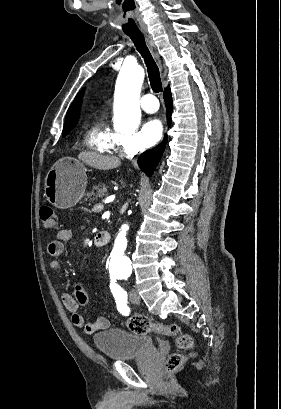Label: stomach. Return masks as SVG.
<instances>
[{
    "instance_id": "0dacf381",
    "label": "stomach",
    "mask_w": 281,
    "mask_h": 409,
    "mask_svg": "<svg viewBox=\"0 0 281 409\" xmlns=\"http://www.w3.org/2000/svg\"><path fill=\"white\" fill-rule=\"evenodd\" d=\"M87 186L86 166L73 156H62L45 178V196L57 209H70L81 200Z\"/></svg>"
}]
</instances>
